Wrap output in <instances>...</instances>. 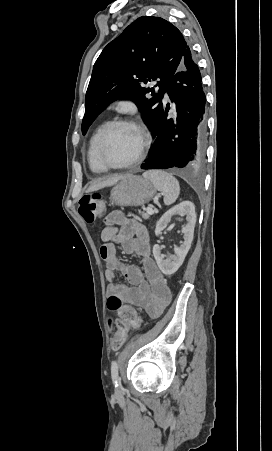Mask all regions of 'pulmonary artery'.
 Returning <instances> with one entry per match:
<instances>
[{
  "label": "pulmonary artery",
  "mask_w": 272,
  "mask_h": 451,
  "mask_svg": "<svg viewBox=\"0 0 272 451\" xmlns=\"http://www.w3.org/2000/svg\"><path fill=\"white\" fill-rule=\"evenodd\" d=\"M165 98H166L167 100H170V99L172 98V95H171L170 93H167V94L165 95Z\"/></svg>",
  "instance_id": "e3ab8cb5"
}]
</instances>
